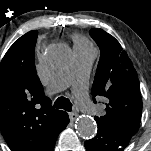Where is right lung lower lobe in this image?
Masks as SVG:
<instances>
[{
	"label": "right lung lower lobe",
	"mask_w": 151,
	"mask_h": 151,
	"mask_svg": "<svg viewBox=\"0 0 151 151\" xmlns=\"http://www.w3.org/2000/svg\"><path fill=\"white\" fill-rule=\"evenodd\" d=\"M68 123H69V117L63 121V129L66 128Z\"/></svg>",
	"instance_id": "right-lung-lower-lobe-1"
}]
</instances>
